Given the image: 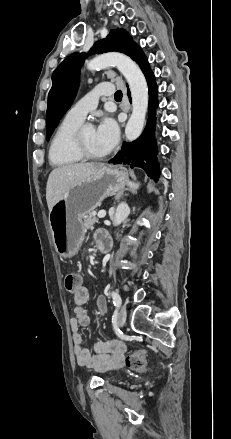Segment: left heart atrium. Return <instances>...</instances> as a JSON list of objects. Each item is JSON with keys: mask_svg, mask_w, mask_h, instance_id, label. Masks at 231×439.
I'll return each mask as SVG.
<instances>
[{"mask_svg": "<svg viewBox=\"0 0 231 439\" xmlns=\"http://www.w3.org/2000/svg\"><path fill=\"white\" fill-rule=\"evenodd\" d=\"M95 137L104 152H110L117 144L119 138L118 125L110 117L102 118L95 129Z\"/></svg>", "mask_w": 231, "mask_h": 439, "instance_id": "39dd6f15", "label": "left heart atrium"}]
</instances>
